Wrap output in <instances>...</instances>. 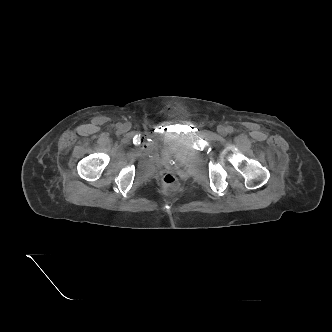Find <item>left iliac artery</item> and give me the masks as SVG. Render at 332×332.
I'll return each mask as SVG.
<instances>
[{
	"mask_svg": "<svg viewBox=\"0 0 332 332\" xmlns=\"http://www.w3.org/2000/svg\"><path fill=\"white\" fill-rule=\"evenodd\" d=\"M233 131H234V129H233L232 126H228V127H227V132H228V133H233Z\"/></svg>",
	"mask_w": 332,
	"mask_h": 332,
	"instance_id": "obj_1",
	"label": "left iliac artery"
}]
</instances>
